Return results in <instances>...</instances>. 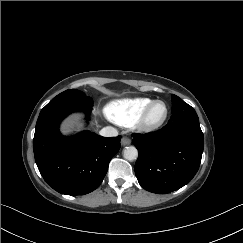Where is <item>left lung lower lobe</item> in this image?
I'll return each instance as SVG.
<instances>
[{"mask_svg":"<svg viewBox=\"0 0 243 243\" xmlns=\"http://www.w3.org/2000/svg\"><path fill=\"white\" fill-rule=\"evenodd\" d=\"M133 137L139 152L135 174L144 189L169 193L190 182L198 171L204 147L198 117H176L156 132Z\"/></svg>","mask_w":243,"mask_h":243,"instance_id":"0a47b994","label":"left lung lower lobe"}]
</instances>
